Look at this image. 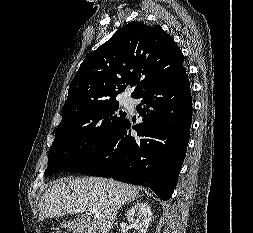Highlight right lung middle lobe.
Wrapping results in <instances>:
<instances>
[{"label":"right lung middle lobe","instance_id":"dd1d6c3e","mask_svg":"<svg viewBox=\"0 0 253 233\" xmlns=\"http://www.w3.org/2000/svg\"><path fill=\"white\" fill-rule=\"evenodd\" d=\"M115 99L84 107L62 118L45 175L71 168L101 150L126 118Z\"/></svg>","mask_w":253,"mask_h":233}]
</instances>
